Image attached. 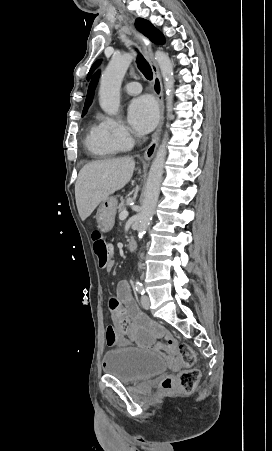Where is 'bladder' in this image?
<instances>
[{"label": "bladder", "mask_w": 272, "mask_h": 451, "mask_svg": "<svg viewBox=\"0 0 272 451\" xmlns=\"http://www.w3.org/2000/svg\"><path fill=\"white\" fill-rule=\"evenodd\" d=\"M167 362L162 354L139 349L115 348L104 354L106 375L117 376L121 383H137L165 373Z\"/></svg>", "instance_id": "bladder-1"}]
</instances>
